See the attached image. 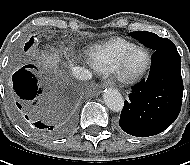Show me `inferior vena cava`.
<instances>
[{"mask_svg":"<svg viewBox=\"0 0 190 165\" xmlns=\"http://www.w3.org/2000/svg\"><path fill=\"white\" fill-rule=\"evenodd\" d=\"M73 76L79 80H89L92 77L91 72H89L84 67L75 66L72 68Z\"/></svg>","mask_w":190,"mask_h":165,"instance_id":"602c4592","label":"inferior vena cava"}]
</instances>
